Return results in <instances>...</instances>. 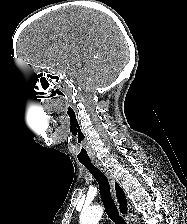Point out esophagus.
<instances>
[{"instance_id": "obj_1", "label": "esophagus", "mask_w": 187, "mask_h": 224, "mask_svg": "<svg viewBox=\"0 0 187 224\" xmlns=\"http://www.w3.org/2000/svg\"><path fill=\"white\" fill-rule=\"evenodd\" d=\"M94 165L99 168L105 175L106 177L108 178L109 182H110V185H111V191H112V195L114 197V200L115 202L117 203V198H116V193H115V189H114V178L113 176L111 175V173L109 172V170L100 162H93ZM127 220V224H129V219L126 218Z\"/></svg>"}]
</instances>
